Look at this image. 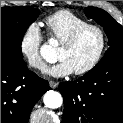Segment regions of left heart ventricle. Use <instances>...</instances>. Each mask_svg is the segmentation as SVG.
Wrapping results in <instances>:
<instances>
[{
	"label": "left heart ventricle",
	"instance_id": "1",
	"mask_svg": "<svg viewBox=\"0 0 123 123\" xmlns=\"http://www.w3.org/2000/svg\"><path fill=\"white\" fill-rule=\"evenodd\" d=\"M100 47V36L95 30L85 32L70 48L59 47L57 58L67 61L74 71L87 66Z\"/></svg>",
	"mask_w": 123,
	"mask_h": 123
}]
</instances>
